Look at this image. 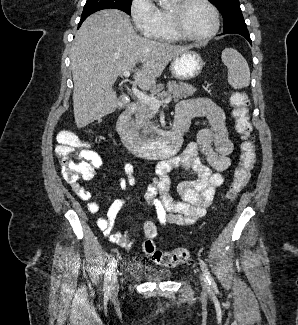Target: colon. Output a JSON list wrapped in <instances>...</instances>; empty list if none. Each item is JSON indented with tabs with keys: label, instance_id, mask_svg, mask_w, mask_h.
<instances>
[{
	"label": "colon",
	"instance_id": "colon-1",
	"mask_svg": "<svg viewBox=\"0 0 298 325\" xmlns=\"http://www.w3.org/2000/svg\"><path fill=\"white\" fill-rule=\"evenodd\" d=\"M230 104L235 129L242 140L239 163L234 170L228 190V198L233 200L244 189L251 177L256 163V147L253 141L248 97L243 93L236 92L231 95ZM56 153L62 165L63 178L70 185L92 178L96 169L101 165L98 155L72 132L64 131L58 135ZM144 234L142 250L155 263L165 267H174L189 259V251L185 248L169 251L157 248L154 241L157 236V227L153 222H146Z\"/></svg>",
	"mask_w": 298,
	"mask_h": 325
}]
</instances>
